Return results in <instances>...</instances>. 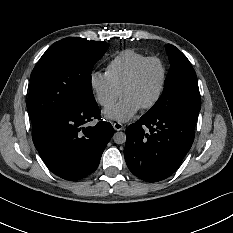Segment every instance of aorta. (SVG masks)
<instances>
[{
    "instance_id": "aorta-1",
    "label": "aorta",
    "mask_w": 233,
    "mask_h": 233,
    "mask_svg": "<svg viewBox=\"0 0 233 233\" xmlns=\"http://www.w3.org/2000/svg\"><path fill=\"white\" fill-rule=\"evenodd\" d=\"M113 141H114L116 144H124L125 141H126V134L123 133V132H116V133L113 135Z\"/></svg>"
}]
</instances>
